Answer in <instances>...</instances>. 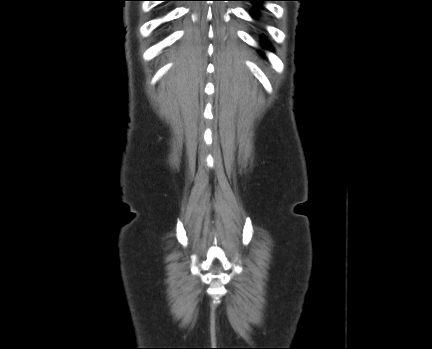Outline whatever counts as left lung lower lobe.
<instances>
[{
	"mask_svg": "<svg viewBox=\"0 0 432 349\" xmlns=\"http://www.w3.org/2000/svg\"><path fill=\"white\" fill-rule=\"evenodd\" d=\"M248 1L260 2V1H269V0H248Z\"/></svg>",
	"mask_w": 432,
	"mask_h": 349,
	"instance_id": "0a47b994",
	"label": "left lung lower lobe"
}]
</instances>
